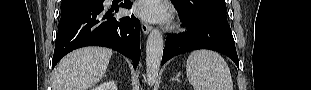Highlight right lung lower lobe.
Wrapping results in <instances>:
<instances>
[{"instance_id":"obj_1","label":"right lung lower lobe","mask_w":311,"mask_h":90,"mask_svg":"<svg viewBox=\"0 0 311 90\" xmlns=\"http://www.w3.org/2000/svg\"><path fill=\"white\" fill-rule=\"evenodd\" d=\"M121 7L131 8L125 0ZM113 9L105 10L103 2L73 10L61 16L52 68L67 53L84 46L112 48L133 61L140 60V22L134 17L114 18Z\"/></svg>"}]
</instances>
